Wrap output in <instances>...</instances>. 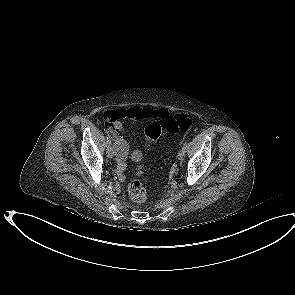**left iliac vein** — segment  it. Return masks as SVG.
Returning <instances> with one entry per match:
<instances>
[{"label":"left iliac vein","mask_w":295,"mask_h":295,"mask_svg":"<svg viewBox=\"0 0 295 295\" xmlns=\"http://www.w3.org/2000/svg\"><path fill=\"white\" fill-rule=\"evenodd\" d=\"M186 149L182 148L178 153V160L183 161L185 157Z\"/></svg>","instance_id":"1"}]
</instances>
